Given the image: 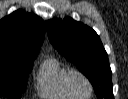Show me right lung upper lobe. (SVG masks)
<instances>
[{"instance_id":"obj_1","label":"right lung upper lobe","mask_w":128,"mask_h":99,"mask_svg":"<svg viewBox=\"0 0 128 99\" xmlns=\"http://www.w3.org/2000/svg\"><path fill=\"white\" fill-rule=\"evenodd\" d=\"M44 34L39 16L17 10L0 20V54L37 56Z\"/></svg>"}]
</instances>
